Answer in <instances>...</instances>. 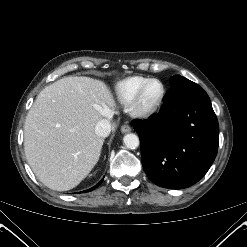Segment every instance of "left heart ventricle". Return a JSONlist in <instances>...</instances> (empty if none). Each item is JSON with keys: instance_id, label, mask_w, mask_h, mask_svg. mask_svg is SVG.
Segmentation results:
<instances>
[{"instance_id": "1", "label": "left heart ventricle", "mask_w": 247, "mask_h": 247, "mask_svg": "<svg viewBox=\"0 0 247 247\" xmlns=\"http://www.w3.org/2000/svg\"><path fill=\"white\" fill-rule=\"evenodd\" d=\"M161 90V85L158 83L149 85L142 96V107L148 108L154 105L161 95Z\"/></svg>"}]
</instances>
